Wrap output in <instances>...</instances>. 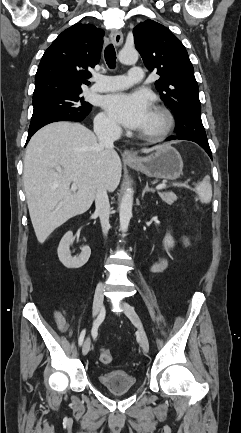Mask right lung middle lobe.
I'll return each instance as SVG.
<instances>
[{
  "label": "right lung middle lobe",
  "instance_id": "obj_1",
  "mask_svg": "<svg viewBox=\"0 0 241 433\" xmlns=\"http://www.w3.org/2000/svg\"><path fill=\"white\" fill-rule=\"evenodd\" d=\"M82 91L51 92L33 97V115L29 131L41 124L63 115L86 116L91 110L89 103L81 97Z\"/></svg>",
  "mask_w": 241,
  "mask_h": 433
}]
</instances>
